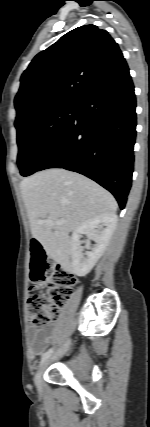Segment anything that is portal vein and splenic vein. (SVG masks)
Masks as SVG:
<instances>
[{
  "mask_svg": "<svg viewBox=\"0 0 150 427\" xmlns=\"http://www.w3.org/2000/svg\"><path fill=\"white\" fill-rule=\"evenodd\" d=\"M65 221H57V222H54L53 220H51V219H47V220H44L43 221V223H45L46 225H48V226H53V225H55V224H63Z\"/></svg>",
  "mask_w": 150,
  "mask_h": 427,
  "instance_id": "1",
  "label": "portal vein and splenic vein"
}]
</instances>
